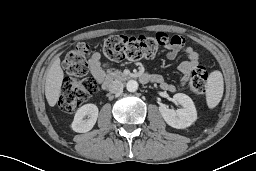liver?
Here are the masks:
<instances>
[{
	"label": "liver",
	"instance_id": "6515ba94",
	"mask_svg": "<svg viewBox=\"0 0 256 171\" xmlns=\"http://www.w3.org/2000/svg\"><path fill=\"white\" fill-rule=\"evenodd\" d=\"M63 70L60 66V58L56 57L46 74L45 96L49 106L54 107L60 97Z\"/></svg>",
	"mask_w": 256,
	"mask_h": 171
}]
</instances>
